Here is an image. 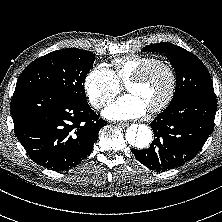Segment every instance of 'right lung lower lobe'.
<instances>
[{"label": "right lung lower lobe", "mask_w": 222, "mask_h": 222, "mask_svg": "<svg viewBox=\"0 0 222 222\" xmlns=\"http://www.w3.org/2000/svg\"><path fill=\"white\" fill-rule=\"evenodd\" d=\"M11 115L15 135L30 158L55 171L79 164L107 124L87 102L39 89L15 90Z\"/></svg>", "instance_id": "1"}]
</instances>
